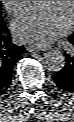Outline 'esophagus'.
Instances as JSON below:
<instances>
[{
	"label": "esophagus",
	"mask_w": 74,
	"mask_h": 122,
	"mask_svg": "<svg viewBox=\"0 0 74 122\" xmlns=\"http://www.w3.org/2000/svg\"><path fill=\"white\" fill-rule=\"evenodd\" d=\"M48 49H49L48 46H43V45H28V46H26V50L30 53L45 51Z\"/></svg>",
	"instance_id": "esophagus-1"
}]
</instances>
